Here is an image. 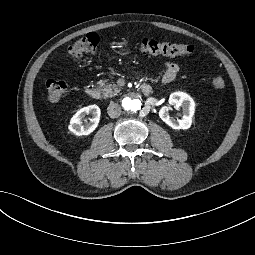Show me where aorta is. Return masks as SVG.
Segmentation results:
<instances>
[{"instance_id": "aorta-1", "label": "aorta", "mask_w": 255, "mask_h": 255, "mask_svg": "<svg viewBox=\"0 0 255 255\" xmlns=\"http://www.w3.org/2000/svg\"><path fill=\"white\" fill-rule=\"evenodd\" d=\"M123 106L126 111L135 113L141 109L142 102H141V99L138 98V96L132 95V96L124 98Z\"/></svg>"}]
</instances>
